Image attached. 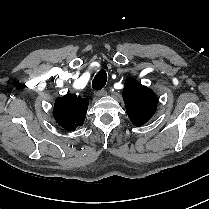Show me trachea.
<instances>
[{"mask_svg":"<svg viewBox=\"0 0 209 209\" xmlns=\"http://www.w3.org/2000/svg\"><path fill=\"white\" fill-rule=\"evenodd\" d=\"M107 81V73L105 70H100L92 81V88L96 91L101 90Z\"/></svg>","mask_w":209,"mask_h":209,"instance_id":"3493384b","label":"trachea"}]
</instances>
